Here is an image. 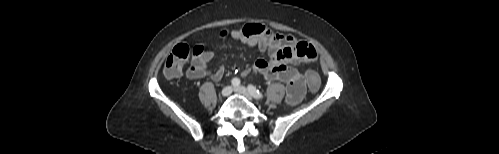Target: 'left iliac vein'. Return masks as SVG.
Returning a JSON list of instances; mask_svg holds the SVG:
<instances>
[{
  "instance_id": "obj_1",
  "label": "left iliac vein",
  "mask_w": 499,
  "mask_h": 154,
  "mask_svg": "<svg viewBox=\"0 0 499 154\" xmlns=\"http://www.w3.org/2000/svg\"><path fill=\"white\" fill-rule=\"evenodd\" d=\"M234 90H235L236 93L245 96L249 100L253 99L252 94L244 86L235 87Z\"/></svg>"
}]
</instances>
